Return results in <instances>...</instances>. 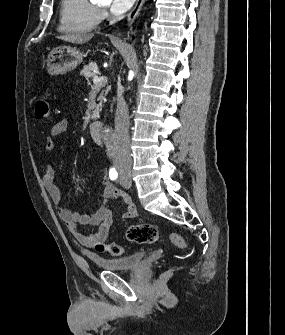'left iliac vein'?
Here are the masks:
<instances>
[{
    "mask_svg": "<svg viewBox=\"0 0 285 335\" xmlns=\"http://www.w3.org/2000/svg\"><path fill=\"white\" fill-rule=\"evenodd\" d=\"M118 182L124 187V188H130L131 187V180H130V174L126 177L123 176V173H120Z\"/></svg>",
    "mask_w": 285,
    "mask_h": 335,
    "instance_id": "obj_1",
    "label": "left iliac vein"
}]
</instances>
